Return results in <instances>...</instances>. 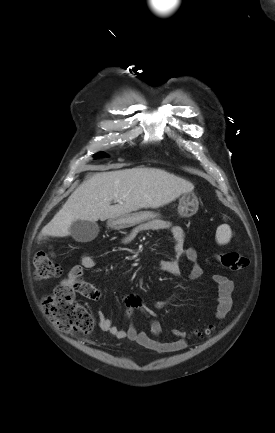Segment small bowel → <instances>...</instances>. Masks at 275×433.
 Instances as JSON below:
<instances>
[{
    "label": "small bowel",
    "mask_w": 275,
    "mask_h": 433,
    "mask_svg": "<svg viewBox=\"0 0 275 433\" xmlns=\"http://www.w3.org/2000/svg\"><path fill=\"white\" fill-rule=\"evenodd\" d=\"M161 228H168L171 237L174 241V258L162 261L158 270L170 275H179L181 273V260L186 259L190 263L188 277L192 280L199 279L203 275V269L198 262L196 249L192 247H184L185 234L183 229L177 225H170L164 223L159 225ZM135 237V232H131L123 238L124 243L131 242ZM96 266V260L93 256L84 254L80 262L73 266L66 278L62 281V285L70 287L73 291L81 296L97 301L100 299V290L92 283L84 279V271L92 269ZM212 280L217 287V309L216 318H224L231 310L232 307V292L234 284L232 280L223 274H214ZM125 303L128 306L126 311V318L130 320V325L127 329H119L113 325L112 321L108 319L103 313L97 312V320L100 329L104 332L111 334L118 339H126L136 342L144 348L150 349L158 353H171L183 350L187 347L185 339V332L178 329L172 331L176 337L173 341H160L158 336L161 334L162 328L160 323L154 319V312L147 303L139 295H131L125 298ZM140 312L148 317L150 321V335L144 331H140L134 324L136 314Z\"/></svg>",
    "instance_id": "c3829d8e"
}]
</instances>
